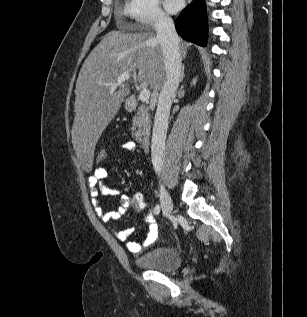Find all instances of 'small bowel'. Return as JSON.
<instances>
[{
    "label": "small bowel",
    "instance_id": "1",
    "mask_svg": "<svg viewBox=\"0 0 307 317\" xmlns=\"http://www.w3.org/2000/svg\"><path fill=\"white\" fill-rule=\"evenodd\" d=\"M137 150V145L133 141L123 142L115 147L117 153L127 154ZM108 175L107 169L101 166L93 169L92 175L88 179L91 190L92 204L95 208L97 216L104 222L119 220L123 217L128 204L130 202L127 196L121 195V191L108 187L105 179ZM99 195L120 197L118 207L115 210L106 211L100 202ZM114 235L121 241H125L128 237V231H121L111 228ZM158 235V226L154 221H149V232L141 243L127 242L126 246L129 251L138 253L142 248L149 246L155 241Z\"/></svg>",
    "mask_w": 307,
    "mask_h": 317
}]
</instances>
